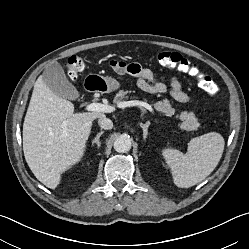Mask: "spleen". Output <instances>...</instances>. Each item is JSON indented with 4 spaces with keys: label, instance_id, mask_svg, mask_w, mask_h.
<instances>
[{
    "label": "spleen",
    "instance_id": "3e777b00",
    "mask_svg": "<svg viewBox=\"0 0 249 249\" xmlns=\"http://www.w3.org/2000/svg\"><path fill=\"white\" fill-rule=\"evenodd\" d=\"M224 138L216 132H209L193 138L188 143L187 153L177 149H164L162 155L170 166L174 183L188 188L204 180L218 165L223 150Z\"/></svg>",
    "mask_w": 249,
    "mask_h": 249
}]
</instances>
